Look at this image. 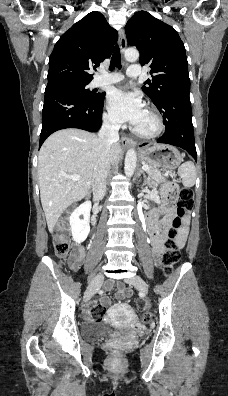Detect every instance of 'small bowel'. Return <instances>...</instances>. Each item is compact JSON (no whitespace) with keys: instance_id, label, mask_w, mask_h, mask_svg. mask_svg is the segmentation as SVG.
<instances>
[{"instance_id":"c3829d8e","label":"small bowel","mask_w":228,"mask_h":396,"mask_svg":"<svg viewBox=\"0 0 228 396\" xmlns=\"http://www.w3.org/2000/svg\"><path fill=\"white\" fill-rule=\"evenodd\" d=\"M162 194L164 198L168 201V190L167 187H164L162 190ZM167 215L160 220H158L159 213L156 211H153L150 215L147 217L153 218L154 220L158 221V224L160 225L159 232L154 235L151 239V243L153 246V253L156 257H159L162 252L164 251V240L166 238L167 232L169 230V227L171 225V217L173 215V208L170 203H167ZM187 222V218H185V223ZM187 226L186 224L184 227L179 231V236H178V243L180 246H183L185 243V239L187 237ZM85 255V247L82 244H78L76 247V250L73 254V258L71 261L72 266L76 267L79 265V263L82 261ZM112 287L111 282H107L105 285V289L109 290ZM117 298L118 299H125L128 296H130L131 292L127 290L123 284L119 283L117 284ZM100 303L103 306H108L110 304V299L107 296H103L100 300ZM95 305V302H93L91 305L88 306L86 314L89 316L90 315V310L91 307ZM120 308H124L125 310L129 311V308L123 304L119 303L114 307V310H118Z\"/></svg>"}]
</instances>
